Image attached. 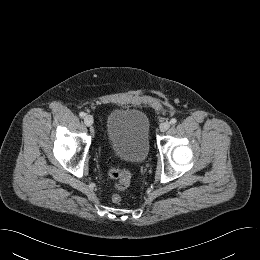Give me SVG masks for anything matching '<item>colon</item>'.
Instances as JSON below:
<instances>
[{
    "instance_id": "5ec220e1",
    "label": "colon",
    "mask_w": 260,
    "mask_h": 260,
    "mask_svg": "<svg viewBox=\"0 0 260 260\" xmlns=\"http://www.w3.org/2000/svg\"><path fill=\"white\" fill-rule=\"evenodd\" d=\"M109 176L116 181L115 188L119 191L125 190L130 184L129 172L121 170L116 166H111L109 168ZM111 201L115 204H118L122 201V197L120 194L114 193L111 196Z\"/></svg>"
}]
</instances>
